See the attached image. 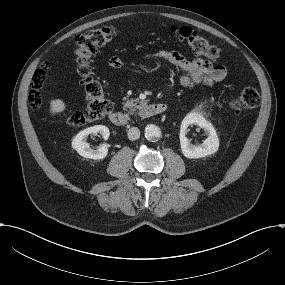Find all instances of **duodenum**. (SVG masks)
Masks as SVG:
<instances>
[{"mask_svg":"<svg viewBox=\"0 0 285 285\" xmlns=\"http://www.w3.org/2000/svg\"><path fill=\"white\" fill-rule=\"evenodd\" d=\"M170 109V103H151L147 104L141 110V117H151L167 112ZM110 121L118 127H125L128 124V119L123 112L112 111L109 114Z\"/></svg>","mask_w":285,"mask_h":285,"instance_id":"duodenum-1","label":"duodenum"}]
</instances>
